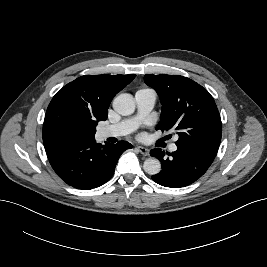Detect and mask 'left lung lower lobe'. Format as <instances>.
Returning a JSON list of instances; mask_svg holds the SVG:
<instances>
[{"label": "left lung lower lobe", "instance_id": "left-lung-lower-lobe-1", "mask_svg": "<svg viewBox=\"0 0 267 267\" xmlns=\"http://www.w3.org/2000/svg\"><path fill=\"white\" fill-rule=\"evenodd\" d=\"M218 147L206 146H177V150L167 153L160 148L150 151L151 156L156 157L162 164L160 173L152 176V179L165 187L181 188L198 180L210 167Z\"/></svg>", "mask_w": 267, "mask_h": 267}]
</instances>
